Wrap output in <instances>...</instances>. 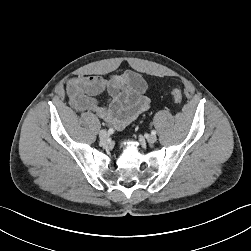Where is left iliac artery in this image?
Returning a JSON list of instances; mask_svg holds the SVG:
<instances>
[{"mask_svg": "<svg viewBox=\"0 0 251 251\" xmlns=\"http://www.w3.org/2000/svg\"><path fill=\"white\" fill-rule=\"evenodd\" d=\"M151 134H152V135H155V134H156V131H155V130H152V131H151Z\"/></svg>", "mask_w": 251, "mask_h": 251, "instance_id": "1", "label": "left iliac artery"}]
</instances>
